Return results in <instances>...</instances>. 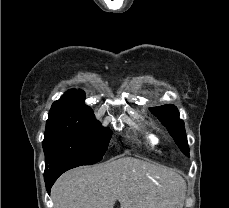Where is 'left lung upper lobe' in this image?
Wrapping results in <instances>:
<instances>
[{
	"label": "left lung upper lobe",
	"instance_id": "left-lung-upper-lobe-1",
	"mask_svg": "<svg viewBox=\"0 0 229 208\" xmlns=\"http://www.w3.org/2000/svg\"><path fill=\"white\" fill-rule=\"evenodd\" d=\"M149 110L168 130L181 151L183 153L189 151L184 122L179 118L177 107L172 104H167L164 106L149 108Z\"/></svg>",
	"mask_w": 229,
	"mask_h": 208
}]
</instances>
